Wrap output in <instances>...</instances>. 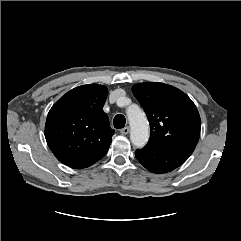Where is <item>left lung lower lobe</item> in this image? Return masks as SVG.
I'll return each instance as SVG.
<instances>
[{"instance_id":"obj_1","label":"left lung lower lobe","mask_w":241,"mask_h":241,"mask_svg":"<svg viewBox=\"0 0 241 241\" xmlns=\"http://www.w3.org/2000/svg\"><path fill=\"white\" fill-rule=\"evenodd\" d=\"M192 154L186 150L163 149L146 145L135 152L137 160L153 173H166L181 166Z\"/></svg>"}]
</instances>
